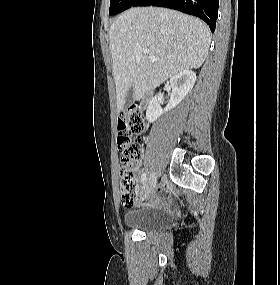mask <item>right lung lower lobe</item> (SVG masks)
<instances>
[{
	"mask_svg": "<svg viewBox=\"0 0 280 285\" xmlns=\"http://www.w3.org/2000/svg\"><path fill=\"white\" fill-rule=\"evenodd\" d=\"M161 6L198 16L215 31L219 0H138L133 6Z\"/></svg>",
	"mask_w": 280,
	"mask_h": 285,
	"instance_id": "98d812e1",
	"label": "right lung lower lobe"
}]
</instances>
